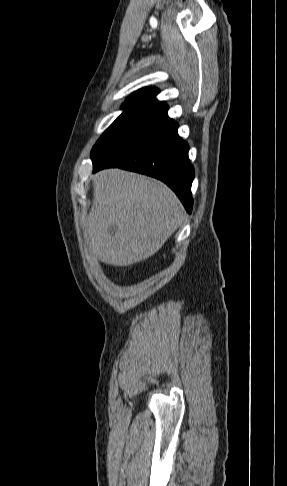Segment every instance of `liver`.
<instances>
[{
    "instance_id": "liver-1",
    "label": "liver",
    "mask_w": 287,
    "mask_h": 486,
    "mask_svg": "<svg viewBox=\"0 0 287 486\" xmlns=\"http://www.w3.org/2000/svg\"><path fill=\"white\" fill-rule=\"evenodd\" d=\"M93 196L84 233L93 254L113 266L133 265L154 255L185 215L165 184L117 168L93 176Z\"/></svg>"
}]
</instances>
